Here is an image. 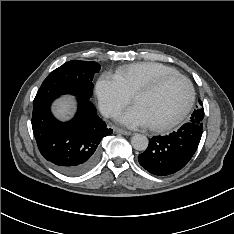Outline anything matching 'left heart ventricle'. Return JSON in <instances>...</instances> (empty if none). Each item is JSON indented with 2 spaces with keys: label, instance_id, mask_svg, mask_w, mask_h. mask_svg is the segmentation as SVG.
<instances>
[{
  "label": "left heart ventricle",
  "instance_id": "left-heart-ventricle-1",
  "mask_svg": "<svg viewBox=\"0 0 234 234\" xmlns=\"http://www.w3.org/2000/svg\"><path fill=\"white\" fill-rule=\"evenodd\" d=\"M188 97L186 84L175 79L151 94L138 96L135 105L143 110L150 125H157L175 118L186 106Z\"/></svg>",
  "mask_w": 234,
  "mask_h": 234
}]
</instances>
